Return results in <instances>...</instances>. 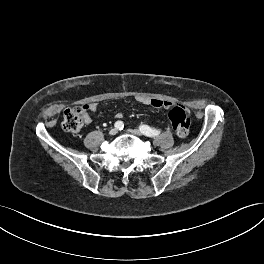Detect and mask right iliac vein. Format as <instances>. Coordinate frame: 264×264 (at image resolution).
<instances>
[{
	"mask_svg": "<svg viewBox=\"0 0 264 264\" xmlns=\"http://www.w3.org/2000/svg\"><path fill=\"white\" fill-rule=\"evenodd\" d=\"M118 133V129L117 128H112L110 131H109V134L110 135H116Z\"/></svg>",
	"mask_w": 264,
	"mask_h": 264,
	"instance_id": "1",
	"label": "right iliac vein"
}]
</instances>
